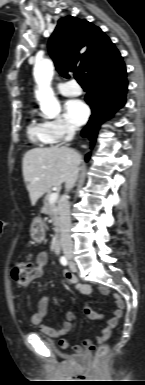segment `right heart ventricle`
Returning a JSON list of instances; mask_svg holds the SVG:
<instances>
[{
	"label": "right heart ventricle",
	"instance_id": "obj_1",
	"mask_svg": "<svg viewBox=\"0 0 145 385\" xmlns=\"http://www.w3.org/2000/svg\"><path fill=\"white\" fill-rule=\"evenodd\" d=\"M27 133L29 138L36 144H50V136L45 123L38 122L35 118H32L28 123Z\"/></svg>",
	"mask_w": 145,
	"mask_h": 385
}]
</instances>
